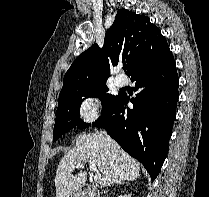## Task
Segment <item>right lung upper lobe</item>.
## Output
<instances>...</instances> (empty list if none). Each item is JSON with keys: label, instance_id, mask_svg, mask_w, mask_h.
<instances>
[{"label": "right lung upper lobe", "instance_id": "cb5924a9", "mask_svg": "<svg viewBox=\"0 0 209 197\" xmlns=\"http://www.w3.org/2000/svg\"><path fill=\"white\" fill-rule=\"evenodd\" d=\"M168 51L166 38L148 17L120 9L105 34L103 48L94 44L78 56L64 76L62 89L106 82L110 66L120 62L128 65L127 75L132 77Z\"/></svg>", "mask_w": 209, "mask_h": 197}]
</instances>
